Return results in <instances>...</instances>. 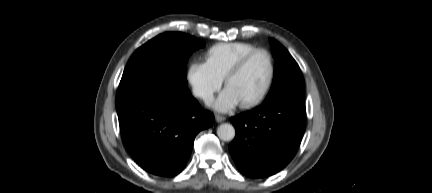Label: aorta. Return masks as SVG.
<instances>
[{"mask_svg":"<svg viewBox=\"0 0 432 193\" xmlns=\"http://www.w3.org/2000/svg\"><path fill=\"white\" fill-rule=\"evenodd\" d=\"M217 135L223 141H231L235 137V128L229 123H223L218 126Z\"/></svg>","mask_w":432,"mask_h":193,"instance_id":"aorta-1","label":"aorta"}]
</instances>
